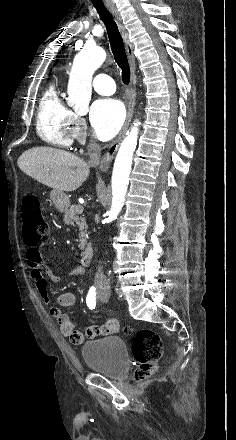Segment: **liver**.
I'll return each instance as SVG.
<instances>
[{
	"label": "liver",
	"instance_id": "liver-1",
	"mask_svg": "<svg viewBox=\"0 0 236 440\" xmlns=\"http://www.w3.org/2000/svg\"><path fill=\"white\" fill-rule=\"evenodd\" d=\"M26 175L53 190L71 192L78 189L90 173V165L80 157L52 147H34L18 158Z\"/></svg>",
	"mask_w": 236,
	"mask_h": 440
}]
</instances>
